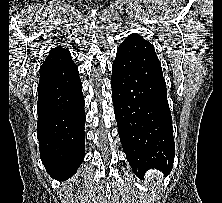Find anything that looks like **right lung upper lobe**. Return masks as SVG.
Here are the masks:
<instances>
[{
    "label": "right lung upper lobe",
    "mask_w": 222,
    "mask_h": 203,
    "mask_svg": "<svg viewBox=\"0 0 222 203\" xmlns=\"http://www.w3.org/2000/svg\"><path fill=\"white\" fill-rule=\"evenodd\" d=\"M71 54L68 49L65 48H55L49 52L48 57L45 62L57 61V60H70Z\"/></svg>",
    "instance_id": "cb5924a9"
}]
</instances>
